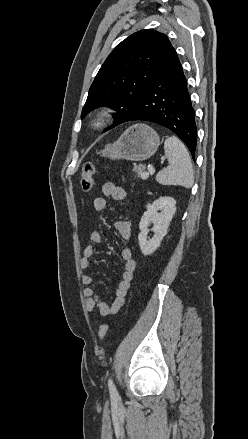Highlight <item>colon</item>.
I'll use <instances>...</instances> for the list:
<instances>
[{"label": "colon", "mask_w": 248, "mask_h": 439, "mask_svg": "<svg viewBox=\"0 0 248 439\" xmlns=\"http://www.w3.org/2000/svg\"><path fill=\"white\" fill-rule=\"evenodd\" d=\"M95 165L92 162H87L82 168L80 185L83 191L89 192L93 188ZM110 329L109 324H103L98 331L99 340H103Z\"/></svg>", "instance_id": "1"}]
</instances>
